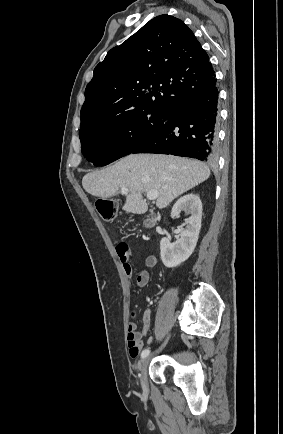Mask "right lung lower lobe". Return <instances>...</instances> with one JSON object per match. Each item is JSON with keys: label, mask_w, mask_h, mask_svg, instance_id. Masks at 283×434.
<instances>
[{"label": "right lung lower lobe", "mask_w": 283, "mask_h": 434, "mask_svg": "<svg viewBox=\"0 0 283 434\" xmlns=\"http://www.w3.org/2000/svg\"><path fill=\"white\" fill-rule=\"evenodd\" d=\"M215 85L167 110L163 125L132 153L171 154L214 162L219 119Z\"/></svg>", "instance_id": "98d812e1"}]
</instances>
